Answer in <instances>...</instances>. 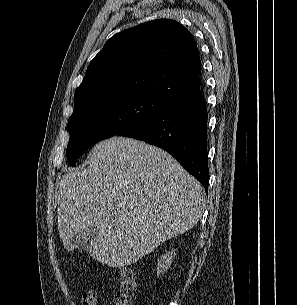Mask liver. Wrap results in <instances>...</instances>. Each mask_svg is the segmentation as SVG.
Returning <instances> with one entry per match:
<instances>
[{
  "mask_svg": "<svg viewBox=\"0 0 297 305\" xmlns=\"http://www.w3.org/2000/svg\"><path fill=\"white\" fill-rule=\"evenodd\" d=\"M88 164L59 185L58 231L68 251V240L93 225L99 236L88 254L110 267L128 266L201 218L204 188L160 148L115 136L95 145Z\"/></svg>",
  "mask_w": 297,
  "mask_h": 305,
  "instance_id": "liver-1",
  "label": "liver"
}]
</instances>
